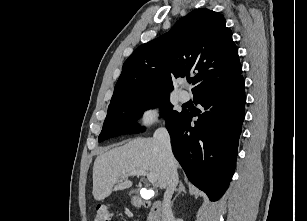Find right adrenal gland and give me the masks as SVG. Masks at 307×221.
Segmentation results:
<instances>
[{"mask_svg": "<svg viewBox=\"0 0 307 221\" xmlns=\"http://www.w3.org/2000/svg\"><path fill=\"white\" fill-rule=\"evenodd\" d=\"M181 192L186 193V189H185L184 184L180 181V183H179V188L177 189V194H176L175 197L173 198L172 203H174V201H175V199L177 198L178 194L181 193Z\"/></svg>", "mask_w": 307, "mask_h": 221, "instance_id": "obj_1", "label": "right adrenal gland"}]
</instances>
